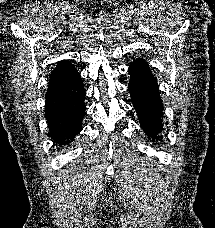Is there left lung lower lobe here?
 <instances>
[{
	"mask_svg": "<svg viewBox=\"0 0 215 228\" xmlns=\"http://www.w3.org/2000/svg\"><path fill=\"white\" fill-rule=\"evenodd\" d=\"M129 92L134 109L137 112L142 129L148 137L159 138L163 130V103L160 99L157 80L151 73L148 64L136 59L129 67Z\"/></svg>",
	"mask_w": 215,
	"mask_h": 228,
	"instance_id": "obj_1",
	"label": "left lung lower lobe"
}]
</instances>
